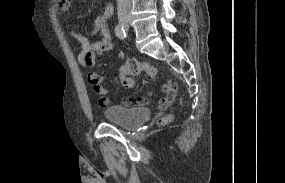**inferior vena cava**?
I'll list each match as a JSON object with an SVG mask.
<instances>
[{
	"label": "inferior vena cava",
	"mask_w": 285,
	"mask_h": 183,
	"mask_svg": "<svg viewBox=\"0 0 285 183\" xmlns=\"http://www.w3.org/2000/svg\"><path fill=\"white\" fill-rule=\"evenodd\" d=\"M131 0H117L118 17L123 18L130 15Z\"/></svg>",
	"instance_id": "602c4592"
}]
</instances>
